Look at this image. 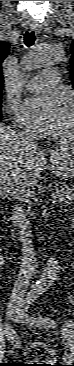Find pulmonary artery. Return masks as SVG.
Returning a JSON list of instances; mask_svg holds the SVG:
<instances>
[{"label": "pulmonary artery", "mask_w": 74, "mask_h": 366, "mask_svg": "<svg viewBox=\"0 0 74 366\" xmlns=\"http://www.w3.org/2000/svg\"><path fill=\"white\" fill-rule=\"evenodd\" d=\"M60 73L57 69L45 70L40 75L32 78L26 85L32 92H42L58 85Z\"/></svg>", "instance_id": "1"}]
</instances>
